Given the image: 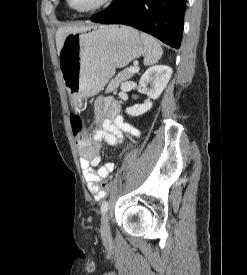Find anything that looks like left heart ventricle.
Listing matches in <instances>:
<instances>
[{"mask_svg":"<svg viewBox=\"0 0 247 275\" xmlns=\"http://www.w3.org/2000/svg\"><path fill=\"white\" fill-rule=\"evenodd\" d=\"M99 0H70L72 7L83 10L88 9L98 3Z\"/></svg>","mask_w":247,"mask_h":275,"instance_id":"left-heart-ventricle-1","label":"left heart ventricle"}]
</instances>
